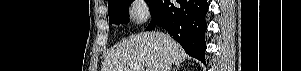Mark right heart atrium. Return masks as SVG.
<instances>
[{"mask_svg":"<svg viewBox=\"0 0 301 71\" xmlns=\"http://www.w3.org/2000/svg\"><path fill=\"white\" fill-rule=\"evenodd\" d=\"M128 13L134 23L145 22L149 16L147 5L141 0L133 2Z\"/></svg>","mask_w":301,"mask_h":71,"instance_id":"obj_1","label":"right heart atrium"}]
</instances>
